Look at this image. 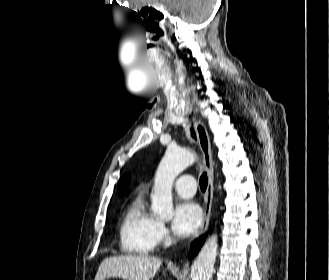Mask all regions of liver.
<instances>
[{"instance_id":"liver-1","label":"liver","mask_w":329,"mask_h":280,"mask_svg":"<svg viewBox=\"0 0 329 280\" xmlns=\"http://www.w3.org/2000/svg\"><path fill=\"white\" fill-rule=\"evenodd\" d=\"M162 265L160 258L148 255H120L104 259L94 280L121 278L123 280L153 279Z\"/></svg>"}]
</instances>
